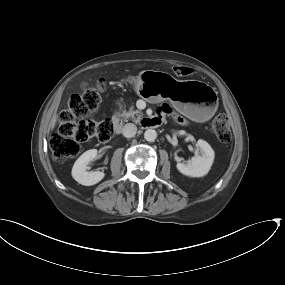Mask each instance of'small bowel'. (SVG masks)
I'll list each match as a JSON object with an SVG mask.
<instances>
[{
	"label": "small bowel",
	"mask_w": 285,
	"mask_h": 285,
	"mask_svg": "<svg viewBox=\"0 0 285 285\" xmlns=\"http://www.w3.org/2000/svg\"><path fill=\"white\" fill-rule=\"evenodd\" d=\"M156 120H157V121H159V120H160V118L158 117V118H156Z\"/></svg>",
	"instance_id": "small-bowel-1"
}]
</instances>
